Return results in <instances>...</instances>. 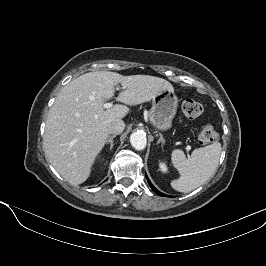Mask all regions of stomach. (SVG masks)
<instances>
[{"instance_id": "stomach-1", "label": "stomach", "mask_w": 266, "mask_h": 266, "mask_svg": "<svg viewBox=\"0 0 266 266\" xmlns=\"http://www.w3.org/2000/svg\"><path fill=\"white\" fill-rule=\"evenodd\" d=\"M178 100L174 91L164 90L152 99V108L148 118L158 130H167L172 126L176 114Z\"/></svg>"}]
</instances>
